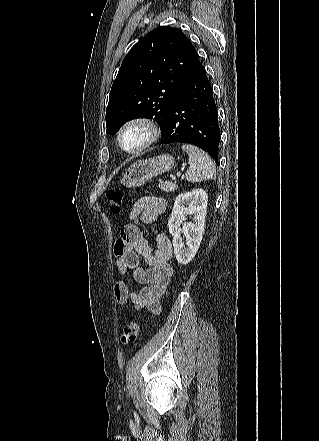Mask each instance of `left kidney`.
Here are the masks:
<instances>
[{"label": "left kidney", "instance_id": "5707ae66", "mask_svg": "<svg viewBox=\"0 0 319 441\" xmlns=\"http://www.w3.org/2000/svg\"><path fill=\"white\" fill-rule=\"evenodd\" d=\"M207 199V193L201 189L179 194L175 199L168 227L173 236L174 254L180 264H188L198 251L204 232ZM188 214L193 216L191 222H186ZM182 232L186 236L187 248L183 247Z\"/></svg>", "mask_w": 319, "mask_h": 441}]
</instances>
